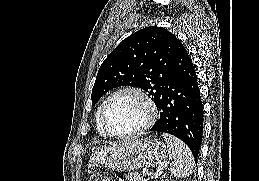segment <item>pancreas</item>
Segmentation results:
<instances>
[{
	"mask_svg": "<svg viewBox=\"0 0 259 181\" xmlns=\"http://www.w3.org/2000/svg\"><path fill=\"white\" fill-rule=\"evenodd\" d=\"M125 178L128 181H144L143 177L137 172H129L126 174Z\"/></svg>",
	"mask_w": 259,
	"mask_h": 181,
	"instance_id": "1",
	"label": "pancreas"
}]
</instances>
